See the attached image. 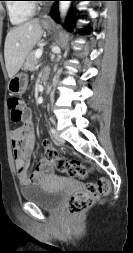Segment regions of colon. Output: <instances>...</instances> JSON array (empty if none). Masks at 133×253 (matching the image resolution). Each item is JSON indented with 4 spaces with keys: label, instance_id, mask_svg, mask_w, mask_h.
Here are the masks:
<instances>
[{
    "label": "colon",
    "instance_id": "colon-1",
    "mask_svg": "<svg viewBox=\"0 0 133 253\" xmlns=\"http://www.w3.org/2000/svg\"><path fill=\"white\" fill-rule=\"evenodd\" d=\"M10 116L13 121H23L26 115V106L22 98L11 95L7 99ZM44 142H49V137H44ZM47 163L67 175L84 179L87 177L89 169L78 161H69L58 155L53 148H47L43 158ZM111 182L108 178H100L96 183H89L84 190L74 194L66 205L67 213L74 215L88 209L97 199L109 194Z\"/></svg>",
    "mask_w": 133,
    "mask_h": 253
}]
</instances>
